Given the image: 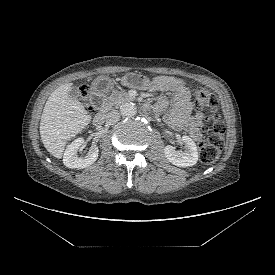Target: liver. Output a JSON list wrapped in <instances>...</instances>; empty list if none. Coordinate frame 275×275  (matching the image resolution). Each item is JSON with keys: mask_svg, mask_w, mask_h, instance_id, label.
<instances>
[{"mask_svg": "<svg viewBox=\"0 0 275 275\" xmlns=\"http://www.w3.org/2000/svg\"><path fill=\"white\" fill-rule=\"evenodd\" d=\"M71 83L55 89L44 106L40 135L46 150L55 158H62L66 143L91 122L85 106L69 96Z\"/></svg>", "mask_w": 275, "mask_h": 275, "instance_id": "6515ba94", "label": "liver"}]
</instances>
